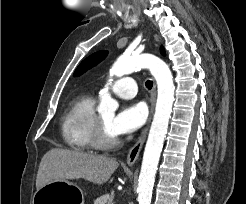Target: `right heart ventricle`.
Instances as JSON below:
<instances>
[{"label": "right heart ventricle", "mask_w": 246, "mask_h": 204, "mask_svg": "<svg viewBox=\"0 0 246 204\" xmlns=\"http://www.w3.org/2000/svg\"><path fill=\"white\" fill-rule=\"evenodd\" d=\"M96 115L92 97L82 95L71 101L62 119V136L68 147L78 151L94 148L92 133Z\"/></svg>", "instance_id": "right-heart-ventricle-1"}]
</instances>
